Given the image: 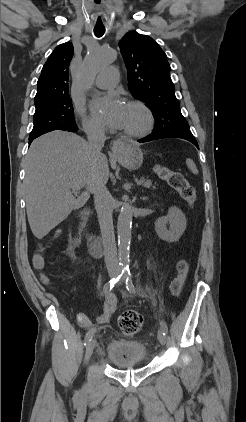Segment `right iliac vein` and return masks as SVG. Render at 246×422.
<instances>
[{
    "label": "right iliac vein",
    "mask_w": 246,
    "mask_h": 422,
    "mask_svg": "<svg viewBox=\"0 0 246 422\" xmlns=\"http://www.w3.org/2000/svg\"><path fill=\"white\" fill-rule=\"evenodd\" d=\"M110 276L113 277L114 273H111ZM95 346H96V340L91 339L88 342L87 347H86V353H85V359L86 360H89L90 357L92 356Z\"/></svg>",
    "instance_id": "obj_1"
}]
</instances>
